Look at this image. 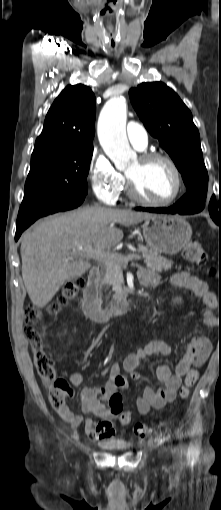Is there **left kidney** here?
Listing matches in <instances>:
<instances>
[{"mask_svg":"<svg viewBox=\"0 0 221 510\" xmlns=\"http://www.w3.org/2000/svg\"><path fill=\"white\" fill-rule=\"evenodd\" d=\"M173 302H174V303H180V302H181V299H178V298H177V299H175Z\"/></svg>","mask_w":221,"mask_h":510,"instance_id":"obj_1","label":"left kidney"}]
</instances>
